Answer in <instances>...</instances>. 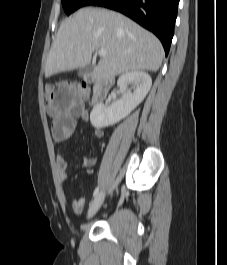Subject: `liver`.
<instances>
[{
  "mask_svg": "<svg viewBox=\"0 0 227 265\" xmlns=\"http://www.w3.org/2000/svg\"><path fill=\"white\" fill-rule=\"evenodd\" d=\"M107 51L93 76L111 79L130 71H157L164 56L159 39L128 17L105 9L84 8L65 19L57 32L45 77L83 68L92 53Z\"/></svg>",
  "mask_w": 227,
  "mask_h": 265,
  "instance_id": "liver-1",
  "label": "liver"
}]
</instances>
